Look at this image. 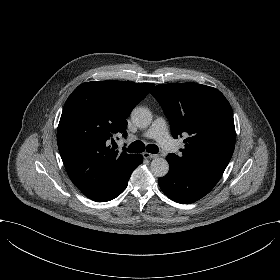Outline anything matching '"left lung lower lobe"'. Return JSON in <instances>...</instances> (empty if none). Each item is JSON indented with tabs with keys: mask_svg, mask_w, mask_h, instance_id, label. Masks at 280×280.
Masks as SVG:
<instances>
[{
	"mask_svg": "<svg viewBox=\"0 0 280 280\" xmlns=\"http://www.w3.org/2000/svg\"><path fill=\"white\" fill-rule=\"evenodd\" d=\"M170 170L165 177L158 179L164 194L182 204L198 201L207 195L217 184L222 172L200 166H188L174 156H167Z\"/></svg>",
	"mask_w": 280,
	"mask_h": 280,
	"instance_id": "0a47b994",
	"label": "left lung lower lobe"
}]
</instances>
